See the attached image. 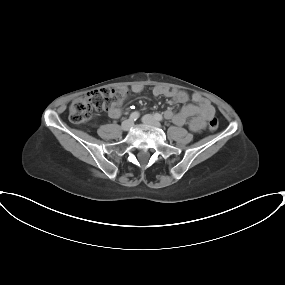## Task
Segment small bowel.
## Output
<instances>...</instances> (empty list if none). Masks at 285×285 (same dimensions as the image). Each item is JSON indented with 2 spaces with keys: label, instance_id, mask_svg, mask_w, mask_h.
<instances>
[{
  "label": "small bowel",
  "instance_id": "small-bowel-1",
  "mask_svg": "<svg viewBox=\"0 0 285 285\" xmlns=\"http://www.w3.org/2000/svg\"><path fill=\"white\" fill-rule=\"evenodd\" d=\"M123 91H126L123 89ZM130 91L134 94H140L143 91L141 84H134L131 86ZM154 96H165L171 98L174 102L185 103L188 101V94L184 90L169 88L166 86H155L152 90ZM194 104L184 105L178 112L166 110L164 116L166 119L171 120L177 125H184L189 123V128L192 131L201 130L206 122L215 116V109L210 101L200 93L192 95ZM120 104L112 106L108 110V115L111 118H119L122 110Z\"/></svg>",
  "mask_w": 285,
  "mask_h": 285
}]
</instances>
